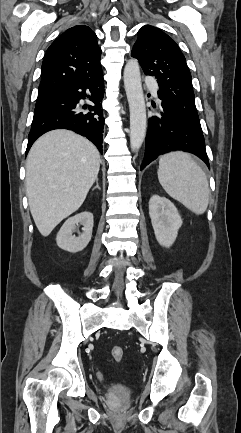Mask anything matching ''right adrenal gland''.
<instances>
[{
	"instance_id": "2a0ac1e0",
	"label": "right adrenal gland",
	"mask_w": 241,
	"mask_h": 433,
	"mask_svg": "<svg viewBox=\"0 0 241 433\" xmlns=\"http://www.w3.org/2000/svg\"><path fill=\"white\" fill-rule=\"evenodd\" d=\"M96 188L98 190H101V188L99 187L98 178H96V186L92 190H95Z\"/></svg>"
}]
</instances>
